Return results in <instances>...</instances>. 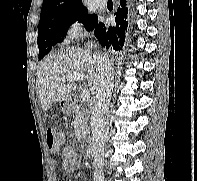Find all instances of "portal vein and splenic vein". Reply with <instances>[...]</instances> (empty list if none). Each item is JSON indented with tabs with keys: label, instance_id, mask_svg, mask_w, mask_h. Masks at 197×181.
<instances>
[{
	"label": "portal vein and splenic vein",
	"instance_id": "portal-vein-and-splenic-vein-1",
	"mask_svg": "<svg viewBox=\"0 0 197 181\" xmlns=\"http://www.w3.org/2000/svg\"><path fill=\"white\" fill-rule=\"evenodd\" d=\"M86 77L87 76L85 74L79 73V74H74V75H68L66 77H59L57 78V81H64V80L83 81L84 79H86ZM89 99H90V90L84 89L82 93V100L85 102V101H88Z\"/></svg>",
	"mask_w": 197,
	"mask_h": 181
}]
</instances>
